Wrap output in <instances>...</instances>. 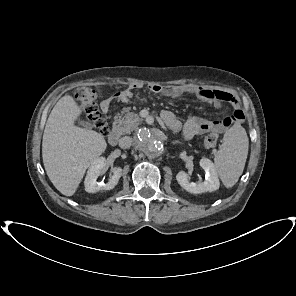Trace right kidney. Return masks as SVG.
Instances as JSON below:
<instances>
[{
	"label": "right kidney",
	"mask_w": 296,
	"mask_h": 296,
	"mask_svg": "<svg viewBox=\"0 0 296 296\" xmlns=\"http://www.w3.org/2000/svg\"><path fill=\"white\" fill-rule=\"evenodd\" d=\"M105 166V157H99L92 162L84 181L86 192L95 193L102 190H111L117 185L122 175V169L120 167L113 168V175L107 183L97 181V178L101 175V172Z\"/></svg>",
	"instance_id": "right-kidney-1"
}]
</instances>
